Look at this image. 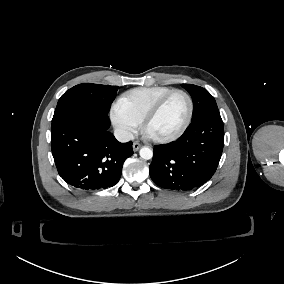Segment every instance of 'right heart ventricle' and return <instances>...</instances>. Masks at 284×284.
Returning <instances> with one entry per match:
<instances>
[{"mask_svg": "<svg viewBox=\"0 0 284 284\" xmlns=\"http://www.w3.org/2000/svg\"><path fill=\"white\" fill-rule=\"evenodd\" d=\"M175 88L165 85L136 87L123 92L115 103V108L134 118L139 125L150 107L161 97Z\"/></svg>", "mask_w": 284, "mask_h": 284, "instance_id": "right-heart-ventricle-1", "label": "right heart ventricle"}]
</instances>
